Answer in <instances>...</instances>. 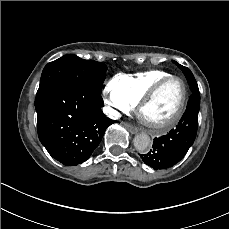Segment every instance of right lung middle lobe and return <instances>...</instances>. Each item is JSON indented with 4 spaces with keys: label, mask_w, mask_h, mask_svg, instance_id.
<instances>
[{
    "label": "right lung middle lobe",
    "mask_w": 229,
    "mask_h": 229,
    "mask_svg": "<svg viewBox=\"0 0 229 229\" xmlns=\"http://www.w3.org/2000/svg\"><path fill=\"white\" fill-rule=\"evenodd\" d=\"M107 67L104 63L84 60L67 54L48 63L43 69L36 98L51 86L65 81L82 83L96 91L102 90Z\"/></svg>",
    "instance_id": "obj_1"
}]
</instances>
